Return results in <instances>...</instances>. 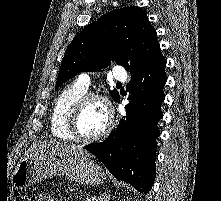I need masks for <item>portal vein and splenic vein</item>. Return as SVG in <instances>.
Segmentation results:
<instances>
[{
	"instance_id": "portal-vein-and-splenic-vein-1",
	"label": "portal vein and splenic vein",
	"mask_w": 221,
	"mask_h": 201,
	"mask_svg": "<svg viewBox=\"0 0 221 201\" xmlns=\"http://www.w3.org/2000/svg\"><path fill=\"white\" fill-rule=\"evenodd\" d=\"M86 201H91V199H90V198H87Z\"/></svg>"
}]
</instances>
